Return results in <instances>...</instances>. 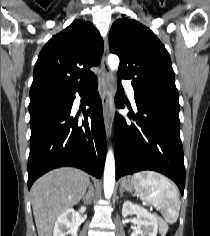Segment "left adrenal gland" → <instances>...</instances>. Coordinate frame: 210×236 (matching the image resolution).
Returning <instances> with one entry per match:
<instances>
[{
	"label": "left adrenal gland",
	"instance_id": "obj_1",
	"mask_svg": "<svg viewBox=\"0 0 210 236\" xmlns=\"http://www.w3.org/2000/svg\"><path fill=\"white\" fill-rule=\"evenodd\" d=\"M124 190L121 188L120 189V197L123 195Z\"/></svg>",
	"mask_w": 210,
	"mask_h": 236
}]
</instances>
